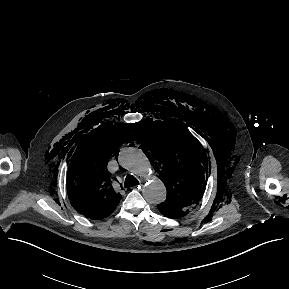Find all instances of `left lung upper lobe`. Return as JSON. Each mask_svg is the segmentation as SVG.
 I'll use <instances>...</instances> for the list:
<instances>
[{"label":"left lung upper lobe","instance_id":"1","mask_svg":"<svg viewBox=\"0 0 289 289\" xmlns=\"http://www.w3.org/2000/svg\"><path fill=\"white\" fill-rule=\"evenodd\" d=\"M141 149L162 176L167 198L158 207L189 213L206 187L208 160L200 142L181 124L143 120L138 123Z\"/></svg>","mask_w":289,"mask_h":289}]
</instances>
